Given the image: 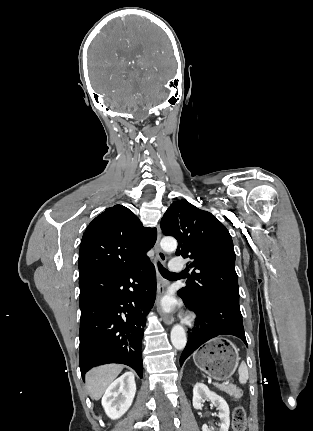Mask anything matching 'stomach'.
I'll list each match as a JSON object with an SVG mask.
<instances>
[{
	"instance_id": "stomach-1",
	"label": "stomach",
	"mask_w": 313,
	"mask_h": 431,
	"mask_svg": "<svg viewBox=\"0 0 313 431\" xmlns=\"http://www.w3.org/2000/svg\"><path fill=\"white\" fill-rule=\"evenodd\" d=\"M195 365L211 378L229 379L239 363L237 348L225 338H215L193 356Z\"/></svg>"
}]
</instances>
